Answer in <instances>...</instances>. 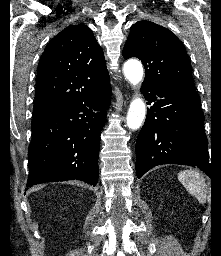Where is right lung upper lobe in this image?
I'll return each mask as SVG.
<instances>
[{"label": "right lung upper lobe", "mask_w": 221, "mask_h": 256, "mask_svg": "<svg viewBox=\"0 0 221 256\" xmlns=\"http://www.w3.org/2000/svg\"><path fill=\"white\" fill-rule=\"evenodd\" d=\"M108 86L104 54L91 29L70 25L48 43L41 57L33 117L96 95Z\"/></svg>", "instance_id": "1"}]
</instances>
